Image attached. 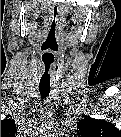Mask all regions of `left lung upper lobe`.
Instances as JSON below:
<instances>
[{"instance_id": "5c2ea615", "label": "left lung upper lobe", "mask_w": 121, "mask_h": 137, "mask_svg": "<svg viewBox=\"0 0 121 137\" xmlns=\"http://www.w3.org/2000/svg\"><path fill=\"white\" fill-rule=\"evenodd\" d=\"M78 132L81 136L96 137L102 135L111 137L119 135L120 132L114 125L105 121L92 118H84L78 123Z\"/></svg>"}]
</instances>
